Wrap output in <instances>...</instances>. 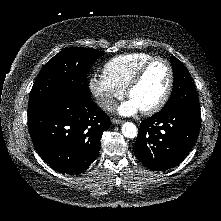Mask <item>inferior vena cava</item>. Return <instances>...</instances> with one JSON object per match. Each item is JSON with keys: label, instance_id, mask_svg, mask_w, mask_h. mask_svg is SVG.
Here are the masks:
<instances>
[{"label": "inferior vena cava", "instance_id": "obj_1", "mask_svg": "<svg viewBox=\"0 0 221 221\" xmlns=\"http://www.w3.org/2000/svg\"><path fill=\"white\" fill-rule=\"evenodd\" d=\"M97 104L100 108L105 111H114L116 109V103L110 97H99L97 99Z\"/></svg>", "mask_w": 221, "mask_h": 221}]
</instances>
